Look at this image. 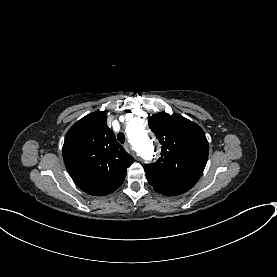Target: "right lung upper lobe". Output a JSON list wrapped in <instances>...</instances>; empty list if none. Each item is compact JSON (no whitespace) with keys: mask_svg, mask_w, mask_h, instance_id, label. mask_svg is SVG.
<instances>
[{"mask_svg":"<svg viewBox=\"0 0 277 277\" xmlns=\"http://www.w3.org/2000/svg\"><path fill=\"white\" fill-rule=\"evenodd\" d=\"M105 112H94L67 132L63 159L74 183L90 195L103 196L119 188L133 158L106 125Z\"/></svg>","mask_w":277,"mask_h":277,"instance_id":"right-lung-upper-lobe-1","label":"right lung upper lobe"}]
</instances>
